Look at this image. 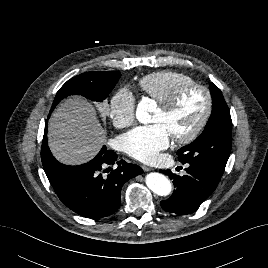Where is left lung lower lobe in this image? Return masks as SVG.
Here are the masks:
<instances>
[{"mask_svg": "<svg viewBox=\"0 0 268 268\" xmlns=\"http://www.w3.org/2000/svg\"><path fill=\"white\" fill-rule=\"evenodd\" d=\"M187 174L179 176L170 170L161 171L173 180L174 192L161 207L167 212L190 214L195 212L217 187L221 176L209 167L189 164Z\"/></svg>", "mask_w": 268, "mask_h": 268, "instance_id": "0a47b994", "label": "left lung lower lobe"}]
</instances>
